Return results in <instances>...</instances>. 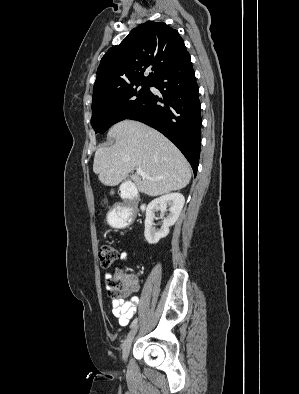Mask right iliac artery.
I'll use <instances>...</instances> for the list:
<instances>
[{"label": "right iliac artery", "mask_w": 299, "mask_h": 394, "mask_svg": "<svg viewBox=\"0 0 299 394\" xmlns=\"http://www.w3.org/2000/svg\"><path fill=\"white\" fill-rule=\"evenodd\" d=\"M137 321H138V319L135 318V319L133 320V322L131 323L130 327H131V328L135 327L136 324H137Z\"/></svg>", "instance_id": "1"}]
</instances>
